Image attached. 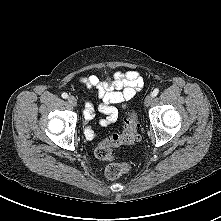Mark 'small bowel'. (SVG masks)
Instances as JSON below:
<instances>
[{
	"mask_svg": "<svg viewBox=\"0 0 221 221\" xmlns=\"http://www.w3.org/2000/svg\"><path fill=\"white\" fill-rule=\"evenodd\" d=\"M79 82L87 89L96 90L100 99L98 111L103 114L98 125L102 127L117 120L118 110L115 105L132 99L143 86L141 74L134 69L126 72L116 71L109 80H100L97 76L91 75L81 77ZM83 115L86 124L85 137L88 140H93L98 135L89 125L95 117V109L91 103L86 104Z\"/></svg>",
	"mask_w": 221,
	"mask_h": 221,
	"instance_id": "c3829d8e",
	"label": "small bowel"
}]
</instances>
